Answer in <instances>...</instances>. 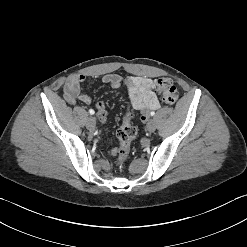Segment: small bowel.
I'll list each match as a JSON object with an SVG mask.
<instances>
[{"label": "small bowel", "instance_id": "1", "mask_svg": "<svg viewBox=\"0 0 247 247\" xmlns=\"http://www.w3.org/2000/svg\"><path fill=\"white\" fill-rule=\"evenodd\" d=\"M110 75L111 74H107L103 76L102 82L112 88H119L113 86V83L110 81ZM116 75L118 80L121 81V86L127 87L132 108L139 110L141 112L142 121H146L149 111L160 107V102L155 93L157 81L146 77ZM84 79L85 77L83 75H73L67 79L64 85V97L68 103L75 104L77 101H81L85 104H89L91 102V98L81 92V83ZM96 109L100 122L106 123L107 112L104 103L97 102ZM110 153L114 155V150H111Z\"/></svg>", "mask_w": 247, "mask_h": 247}]
</instances>
